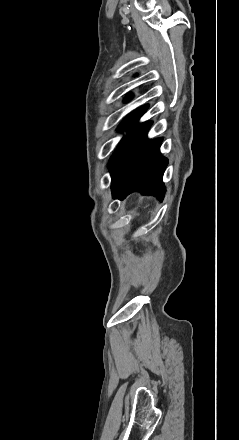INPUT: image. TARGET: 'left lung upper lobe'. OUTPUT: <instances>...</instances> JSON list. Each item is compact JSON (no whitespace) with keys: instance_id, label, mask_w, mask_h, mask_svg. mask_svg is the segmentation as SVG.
<instances>
[{"instance_id":"1","label":"left lung upper lobe","mask_w":239,"mask_h":440,"mask_svg":"<svg viewBox=\"0 0 239 440\" xmlns=\"http://www.w3.org/2000/svg\"><path fill=\"white\" fill-rule=\"evenodd\" d=\"M130 98H131V96H128L127 98H125V101H126V102L129 101Z\"/></svg>"}]
</instances>
